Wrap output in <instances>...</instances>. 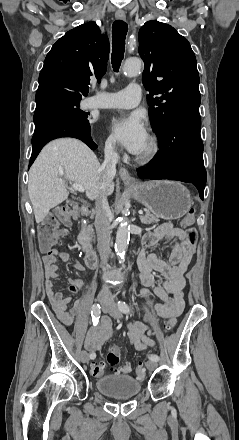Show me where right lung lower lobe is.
<instances>
[{
	"instance_id": "right-lung-lower-lobe-1",
	"label": "right lung lower lobe",
	"mask_w": 239,
	"mask_h": 440,
	"mask_svg": "<svg viewBox=\"0 0 239 440\" xmlns=\"http://www.w3.org/2000/svg\"><path fill=\"white\" fill-rule=\"evenodd\" d=\"M35 131L32 137V155L29 162H34L41 149L51 140L61 137H73L82 140L92 150L97 148L90 136L89 122H83L69 115L60 108L45 107L37 109L33 117Z\"/></svg>"
}]
</instances>
